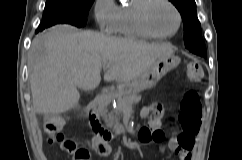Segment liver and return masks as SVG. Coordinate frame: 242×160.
Masks as SVG:
<instances>
[{
  "label": "liver",
  "instance_id": "6515ba94",
  "mask_svg": "<svg viewBox=\"0 0 242 160\" xmlns=\"http://www.w3.org/2000/svg\"><path fill=\"white\" fill-rule=\"evenodd\" d=\"M173 52L168 43L150 44L56 25L32 41L28 67L34 111L55 114L73 109L80 99L78 89L98 87L104 65H109L104 81L121 83L137 78Z\"/></svg>",
  "mask_w": 242,
  "mask_h": 160
}]
</instances>
